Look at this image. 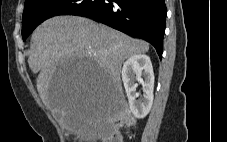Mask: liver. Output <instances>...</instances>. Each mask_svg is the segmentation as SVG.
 <instances>
[{
	"instance_id": "liver-1",
	"label": "liver",
	"mask_w": 227,
	"mask_h": 142,
	"mask_svg": "<svg viewBox=\"0 0 227 142\" xmlns=\"http://www.w3.org/2000/svg\"><path fill=\"white\" fill-rule=\"evenodd\" d=\"M28 64L38 73L37 89L43 104L61 114V124L82 135L100 114V97L121 94V66L131 56L144 54L149 44L108 26L78 16H56L43 22L32 34ZM59 61H94L99 78L94 88H61L52 73Z\"/></svg>"
}]
</instances>
